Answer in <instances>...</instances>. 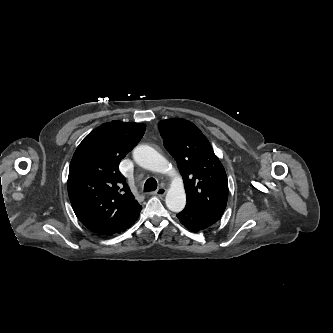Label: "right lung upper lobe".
<instances>
[{
  "label": "right lung upper lobe",
  "instance_id": "cb5924a9",
  "mask_svg": "<svg viewBox=\"0 0 333 333\" xmlns=\"http://www.w3.org/2000/svg\"><path fill=\"white\" fill-rule=\"evenodd\" d=\"M144 124L111 121L89 133L70 163L68 195L78 219L91 231L112 236L130 227L142 207L119 163L141 140Z\"/></svg>",
  "mask_w": 333,
  "mask_h": 333
}]
</instances>
